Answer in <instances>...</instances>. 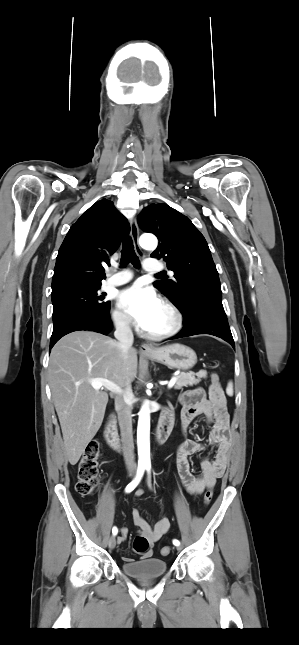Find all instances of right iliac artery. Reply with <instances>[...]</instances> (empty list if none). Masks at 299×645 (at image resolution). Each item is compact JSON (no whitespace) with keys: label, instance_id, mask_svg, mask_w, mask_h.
Returning <instances> with one entry per match:
<instances>
[{"label":"right iliac artery","instance_id":"82829eb1","mask_svg":"<svg viewBox=\"0 0 299 645\" xmlns=\"http://www.w3.org/2000/svg\"><path fill=\"white\" fill-rule=\"evenodd\" d=\"M144 470H145V466H138L135 479L132 482H130L125 489L127 493H130L131 491H133L136 488V486L139 484L144 474ZM112 533L113 535H116L118 533V529L116 527H113Z\"/></svg>","mask_w":299,"mask_h":645}]
</instances>
